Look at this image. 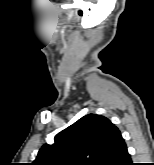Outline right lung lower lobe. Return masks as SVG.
Listing matches in <instances>:
<instances>
[{"label":"right lung lower lobe","instance_id":"right-lung-lower-lobe-1","mask_svg":"<svg viewBox=\"0 0 154 165\" xmlns=\"http://www.w3.org/2000/svg\"><path fill=\"white\" fill-rule=\"evenodd\" d=\"M103 165H133L122 136L114 143L112 153Z\"/></svg>","mask_w":154,"mask_h":165}]
</instances>
